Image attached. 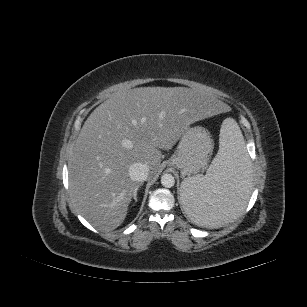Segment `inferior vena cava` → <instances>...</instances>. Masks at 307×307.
<instances>
[{"label": "inferior vena cava", "mask_w": 307, "mask_h": 307, "mask_svg": "<svg viewBox=\"0 0 307 307\" xmlns=\"http://www.w3.org/2000/svg\"><path fill=\"white\" fill-rule=\"evenodd\" d=\"M149 175L148 166L141 162H136L129 167V176L133 181L142 182L147 179Z\"/></svg>", "instance_id": "obj_1"}]
</instances>
